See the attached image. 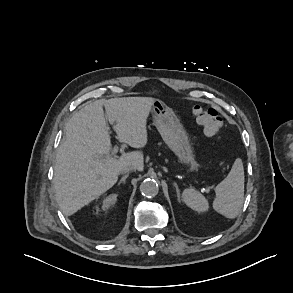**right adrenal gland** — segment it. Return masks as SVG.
<instances>
[{
	"label": "right adrenal gland",
	"mask_w": 293,
	"mask_h": 293,
	"mask_svg": "<svg viewBox=\"0 0 293 293\" xmlns=\"http://www.w3.org/2000/svg\"><path fill=\"white\" fill-rule=\"evenodd\" d=\"M128 176H129L128 174L124 175V176L120 179V181L118 182V185H120L121 183H125V180H126V178H127Z\"/></svg>",
	"instance_id": "2a0ac1e0"
}]
</instances>
